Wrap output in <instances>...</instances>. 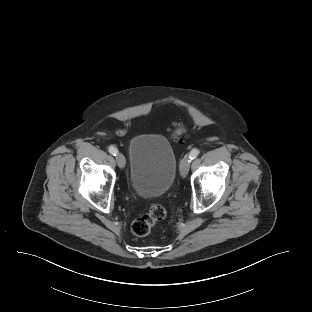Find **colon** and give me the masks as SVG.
Instances as JSON below:
<instances>
[{"label": "colon", "instance_id": "1", "mask_svg": "<svg viewBox=\"0 0 312 312\" xmlns=\"http://www.w3.org/2000/svg\"><path fill=\"white\" fill-rule=\"evenodd\" d=\"M185 132L186 128L184 126H176L173 129L171 136L173 138H179ZM165 216V208L161 204L153 203L149 207L147 213L134 220L131 226V230L136 236L144 237L148 235L152 227L157 222L163 220Z\"/></svg>", "mask_w": 312, "mask_h": 312}]
</instances>
